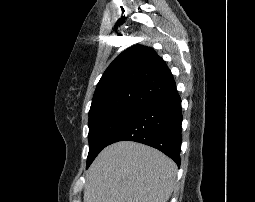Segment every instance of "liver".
Instances as JSON below:
<instances>
[{
    "instance_id": "6515ba94",
    "label": "liver",
    "mask_w": 255,
    "mask_h": 202,
    "mask_svg": "<svg viewBox=\"0 0 255 202\" xmlns=\"http://www.w3.org/2000/svg\"><path fill=\"white\" fill-rule=\"evenodd\" d=\"M177 166L162 152L132 141L103 149L90 166L84 202H167Z\"/></svg>"
}]
</instances>
